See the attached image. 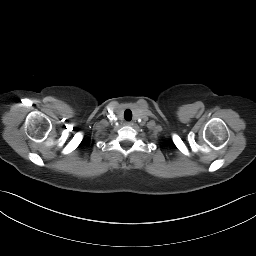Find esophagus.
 Returning <instances> with one entry per match:
<instances>
[{
    "mask_svg": "<svg viewBox=\"0 0 256 256\" xmlns=\"http://www.w3.org/2000/svg\"><path fill=\"white\" fill-rule=\"evenodd\" d=\"M125 124L128 125V126H130V125H132V122L127 121Z\"/></svg>",
    "mask_w": 256,
    "mask_h": 256,
    "instance_id": "obj_1",
    "label": "esophagus"
}]
</instances>
